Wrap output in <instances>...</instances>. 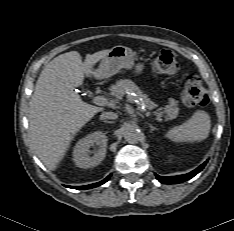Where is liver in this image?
Returning a JSON list of instances; mask_svg holds the SVG:
<instances>
[{"label":"liver","instance_id":"1","mask_svg":"<svg viewBox=\"0 0 234 231\" xmlns=\"http://www.w3.org/2000/svg\"><path fill=\"white\" fill-rule=\"evenodd\" d=\"M110 49L87 54L77 51L55 57L42 70L30 101L29 137L36 154L49 170H55L77 133L102 107L81 100L75 87L94 74V65Z\"/></svg>","mask_w":234,"mask_h":231}]
</instances>
